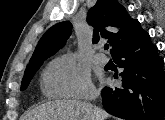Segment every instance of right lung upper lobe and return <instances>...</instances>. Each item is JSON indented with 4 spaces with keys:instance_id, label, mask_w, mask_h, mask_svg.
<instances>
[{
    "instance_id": "cb5924a9",
    "label": "right lung upper lobe",
    "mask_w": 165,
    "mask_h": 120,
    "mask_svg": "<svg viewBox=\"0 0 165 120\" xmlns=\"http://www.w3.org/2000/svg\"><path fill=\"white\" fill-rule=\"evenodd\" d=\"M88 22L94 27L93 43L107 39L112 47V56L145 33L138 20L128 17L126 9L116 0H98L88 12ZM71 29L69 21L50 27L41 37L28 66L47 59L61 49L71 35Z\"/></svg>"
}]
</instances>
